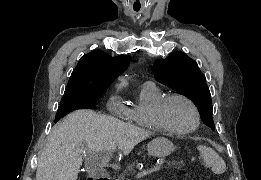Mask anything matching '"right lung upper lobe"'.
I'll return each instance as SVG.
<instances>
[{
  "label": "right lung upper lobe",
  "mask_w": 261,
  "mask_h": 180,
  "mask_svg": "<svg viewBox=\"0 0 261 180\" xmlns=\"http://www.w3.org/2000/svg\"><path fill=\"white\" fill-rule=\"evenodd\" d=\"M129 62L127 55L111 57L101 50H94L80 58L66 90L106 91L115 76L127 69Z\"/></svg>",
  "instance_id": "obj_1"
}]
</instances>
